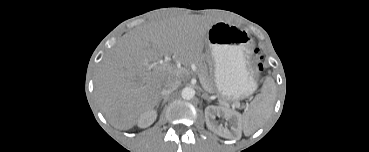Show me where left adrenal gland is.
<instances>
[{"label": "left adrenal gland", "mask_w": 369, "mask_h": 152, "mask_svg": "<svg viewBox=\"0 0 369 152\" xmlns=\"http://www.w3.org/2000/svg\"><path fill=\"white\" fill-rule=\"evenodd\" d=\"M202 98L205 99V100H207V101H210L209 98H208V96L206 94H203L202 95Z\"/></svg>", "instance_id": "a2214340"}]
</instances>
